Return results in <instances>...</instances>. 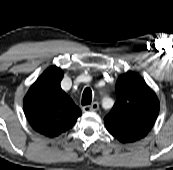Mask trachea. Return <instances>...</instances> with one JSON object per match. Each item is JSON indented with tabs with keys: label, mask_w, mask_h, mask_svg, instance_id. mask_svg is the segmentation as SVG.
I'll return each mask as SVG.
<instances>
[{
	"label": "trachea",
	"mask_w": 173,
	"mask_h": 170,
	"mask_svg": "<svg viewBox=\"0 0 173 170\" xmlns=\"http://www.w3.org/2000/svg\"><path fill=\"white\" fill-rule=\"evenodd\" d=\"M92 102V90L90 88H85L82 94V105H89Z\"/></svg>",
	"instance_id": "1"
}]
</instances>
